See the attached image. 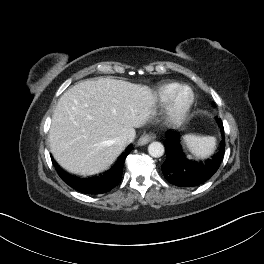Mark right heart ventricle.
<instances>
[{
  "mask_svg": "<svg viewBox=\"0 0 264 264\" xmlns=\"http://www.w3.org/2000/svg\"><path fill=\"white\" fill-rule=\"evenodd\" d=\"M178 86L177 83L175 82H168L164 83L163 85L160 86L158 89V97L161 101L167 100L168 96L170 93Z\"/></svg>",
  "mask_w": 264,
  "mask_h": 264,
  "instance_id": "1",
  "label": "right heart ventricle"
}]
</instances>
